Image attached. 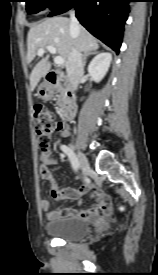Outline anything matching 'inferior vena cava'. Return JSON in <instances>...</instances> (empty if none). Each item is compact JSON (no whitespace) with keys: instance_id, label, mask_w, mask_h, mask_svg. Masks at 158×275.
<instances>
[{"instance_id":"1","label":"inferior vena cava","mask_w":158,"mask_h":275,"mask_svg":"<svg viewBox=\"0 0 158 275\" xmlns=\"http://www.w3.org/2000/svg\"><path fill=\"white\" fill-rule=\"evenodd\" d=\"M70 26L73 29H77L80 26L74 11H72L70 15ZM66 70L71 88L77 90L79 80L84 73V64L82 54L75 46L72 47L69 54Z\"/></svg>"}]
</instances>
